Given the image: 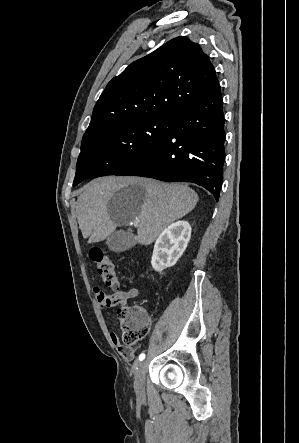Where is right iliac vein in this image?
I'll list each match as a JSON object with an SVG mask.
<instances>
[{"mask_svg":"<svg viewBox=\"0 0 299 443\" xmlns=\"http://www.w3.org/2000/svg\"><path fill=\"white\" fill-rule=\"evenodd\" d=\"M147 364L142 361L138 364L134 388L138 398L142 399L145 397V374H146Z\"/></svg>","mask_w":299,"mask_h":443,"instance_id":"63e3f726","label":"right iliac vein"}]
</instances>
